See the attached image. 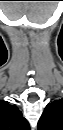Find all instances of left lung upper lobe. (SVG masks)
Here are the masks:
<instances>
[{
	"mask_svg": "<svg viewBox=\"0 0 63 130\" xmlns=\"http://www.w3.org/2000/svg\"><path fill=\"white\" fill-rule=\"evenodd\" d=\"M38 130H63V100L47 104L39 119Z\"/></svg>",
	"mask_w": 63,
	"mask_h": 130,
	"instance_id": "1",
	"label": "left lung upper lobe"
}]
</instances>
